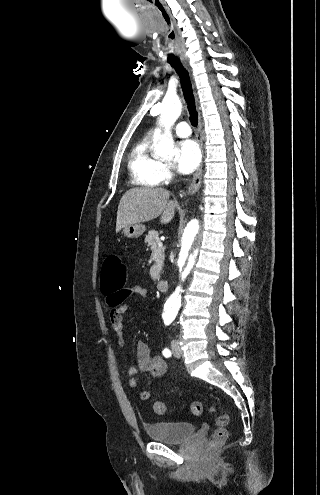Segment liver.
I'll list each match as a JSON object with an SVG mask.
<instances>
[{
  "label": "liver",
  "instance_id": "6515ba94",
  "mask_svg": "<svg viewBox=\"0 0 320 495\" xmlns=\"http://www.w3.org/2000/svg\"><path fill=\"white\" fill-rule=\"evenodd\" d=\"M175 214V203L169 201L165 189L134 188L121 198L116 221V233L129 224L151 221L160 216L162 224L169 223Z\"/></svg>",
  "mask_w": 320,
  "mask_h": 495
}]
</instances>
